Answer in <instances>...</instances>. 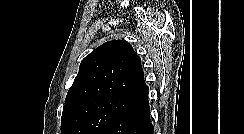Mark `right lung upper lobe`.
Masks as SVG:
<instances>
[{
  "instance_id": "obj_1",
  "label": "right lung upper lobe",
  "mask_w": 244,
  "mask_h": 134,
  "mask_svg": "<svg viewBox=\"0 0 244 134\" xmlns=\"http://www.w3.org/2000/svg\"><path fill=\"white\" fill-rule=\"evenodd\" d=\"M148 93L140 57L123 40L108 41L87 55L70 87L62 118L76 105L99 98L134 100Z\"/></svg>"
}]
</instances>
